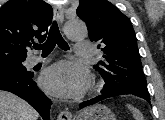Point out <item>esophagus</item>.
Segmentation results:
<instances>
[{
    "label": "esophagus",
    "mask_w": 165,
    "mask_h": 120,
    "mask_svg": "<svg viewBox=\"0 0 165 120\" xmlns=\"http://www.w3.org/2000/svg\"><path fill=\"white\" fill-rule=\"evenodd\" d=\"M54 16L56 20L62 24L64 20V9L61 7H56L54 9ZM58 120H73L72 113L69 111H62L58 116Z\"/></svg>",
    "instance_id": "esophagus-1"
}]
</instances>
